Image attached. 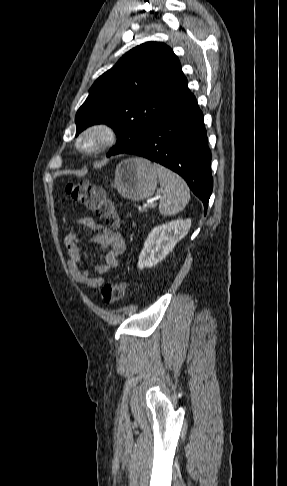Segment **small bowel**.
Segmentation results:
<instances>
[{
  "label": "small bowel",
  "instance_id": "1",
  "mask_svg": "<svg viewBox=\"0 0 287 486\" xmlns=\"http://www.w3.org/2000/svg\"><path fill=\"white\" fill-rule=\"evenodd\" d=\"M76 224L89 229L101 228L91 217L87 216L77 217ZM93 242L102 249L107 250L104 262L95 265L94 274L81 268L83 253L80 237L75 232H70L64 240L67 249L68 268L73 281L85 284L91 288H99L103 284L102 276L118 267L119 256L125 250V240L120 232L102 228L93 237Z\"/></svg>",
  "mask_w": 287,
  "mask_h": 486
}]
</instances>
